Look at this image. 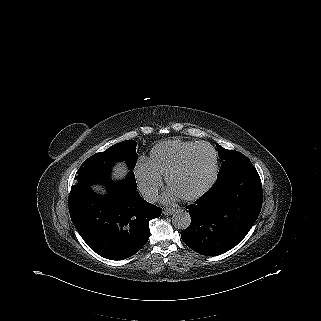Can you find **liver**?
Returning <instances> with one entry per match:
<instances>
[{
	"instance_id": "1",
	"label": "liver",
	"mask_w": 321,
	"mask_h": 321,
	"mask_svg": "<svg viewBox=\"0 0 321 321\" xmlns=\"http://www.w3.org/2000/svg\"><path fill=\"white\" fill-rule=\"evenodd\" d=\"M126 173V168L125 165L119 164L116 168H115V177L117 178H121L125 175ZM97 190H99L98 188H96Z\"/></svg>"
}]
</instances>
